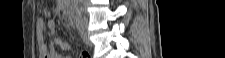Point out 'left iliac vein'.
I'll return each instance as SVG.
<instances>
[{
	"mask_svg": "<svg viewBox=\"0 0 225 58\" xmlns=\"http://www.w3.org/2000/svg\"><path fill=\"white\" fill-rule=\"evenodd\" d=\"M82 23H83V20H82ZM81 38H82L83 42L86 45H91L92 44L91 41H90V39H89L88 33L84 29L81 31Z\"/></svg>",
	"mask_w": 225,
	"mask_h": 58,
	"instance_id": "4c4485c4",
	"label": "left iliac vein"
}]
</instances>
